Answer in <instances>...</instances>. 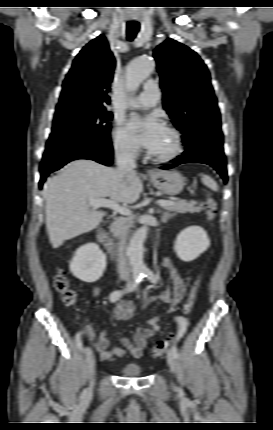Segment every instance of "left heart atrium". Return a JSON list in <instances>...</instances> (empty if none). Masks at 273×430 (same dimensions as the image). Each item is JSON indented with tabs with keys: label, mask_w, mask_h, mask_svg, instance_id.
Instances as JSON below:
<instances>
[{
	"label": "left heart atrium",
	"mask_w": 273,
	"mask_h": 430,
	"mask_svg": "<svg viewBox=\"0 0 273 430\" xmlns=\"http://www.w3.org/2000/svg\"><path fill=\"white\" fill-rule=\"evenodd\" d=\"M128 128L134 139L150 151H153L157 147L165 132L163 123L153 115L143 119H130Z\"/></svg>",
	"instance_id": "left-heart-atrium-1"
}]
</instances>
